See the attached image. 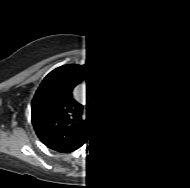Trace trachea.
<instances>
[{"label":"trachea","mask_w":190,"mask_h":188,"mask_svg":"<svg viewBox=\"0 0 190 188\" xmlns=\"http://www.w3.org/2000/svg\"><path fill=\"white\" fill-rule=\"evenodd\" d=\"M89 113H90V115L96 116V117L103 116L102 107L97 103H93L91 105Z\"/></svg>","instance_id":"1"}]
</instances>
